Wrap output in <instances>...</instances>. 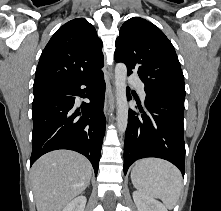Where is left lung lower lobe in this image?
I'll return each mask as SVG.
<instances>
[{
  "mask_svg": "<svg viewBox=\"0 0 221 211\" xmlns=\"http://www.w3.org/2000/svg\"><path fill=\"white\" fill-rule=\"evenodd\" d=\"M146 92L147 112L129 110L124 144V174L138 159L157 157L170 161L185 173L184 100L170 93ZM127 99L132 97L127 88Z\"/></svg>",
  "mask_w": 221,
  "mask_h": 211,
  "instance_id": "obj_1",
  "label": "left lung lower lobe"
}]
</instances>
